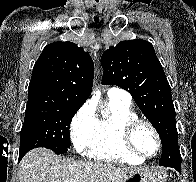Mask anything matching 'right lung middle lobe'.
<instances>
[{
	"label": "right lung middle lobe",
	"mask_w": 196,
	"mask_h": 182,
	"mask_svg": "<svg viewBox=\"0 0 196 182\" xmlns=\"http://www.w3.org/2000/svg\"><path fill=\"white\" fill-rule=\"evenodd\" d=\"M78 109L71 106L26 109L19 156L37 147L49 148L56 154L66 153L70 148V123Z\"/></svg>",
	"instance_id": "dd1d6c3e"
}]
</instances>
